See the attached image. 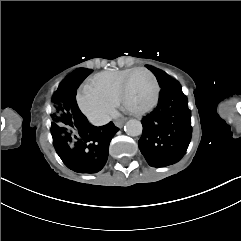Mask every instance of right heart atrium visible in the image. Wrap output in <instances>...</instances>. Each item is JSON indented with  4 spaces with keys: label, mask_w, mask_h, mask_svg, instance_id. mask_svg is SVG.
<instances>
[{
    "label": "right heart atrium",
    "mask_w": 241,
    "mask_h": 241,
    "mask_svg": "<svg viewBox=\"0 0 241 241\" xmlns=\"http://www.w3.org/2000/svg\"><path fill=\"white\" fill-rule=\"evenodd\" d=\"M76 102L80 111L88 115L94 124L105 128L110 125L115 102L94 84L88 83L77 90Z\"/></svg>",
    "instance_id": "right-heart-atrium-1"
}]
</instances>
